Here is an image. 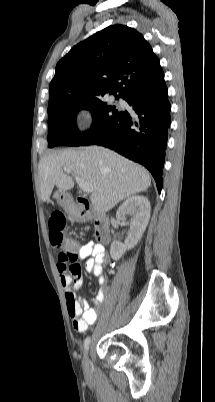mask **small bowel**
<instances>
[{"mask_svg":"<svg viewBox=\"0 0 215 402\" xmlns=\"http://www.w3.org/2000/svg\"><path fill=\"white\" fill-rule=\"evenodd\" d=\"M75 254L77 255V263L80 260H85V271L97 277L99 284V289L93 301L80 298L76 294L83 283L80 265L78 264V270L69 271L67 264H64L60 260L57 261V268L64 291L68 314L72 319L75 331L84 333L89 326L96 322L98 310L108 293L104 266L107 265L109 261L104 246L96 244L93 241H88L81 245L79 250H75Z\"/></svg>","mask_w":215,"mask_h":402,"instance_id":"obj_1","label":"small bowel"}]
</instances>
